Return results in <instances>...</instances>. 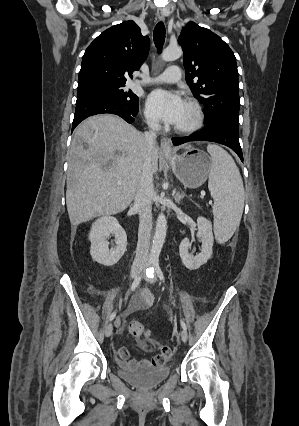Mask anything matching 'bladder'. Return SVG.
<instances>
[{"instance_id":"31cf9c89","label":"bladder","mask_w":299,"mask_h":426,"mask_svg":"<svg viewBox=\"0 0 299 426\" xmlns=\"http://www.w3.org/2000/svg\"><path fill=\"white\" fill-rule=\"evenodd\" d=\"M171 370L169 366L142 368L138 370L119 369L118 375L126 382L139 389H152L167 379Z\"/></svg>"}]
</instances>
